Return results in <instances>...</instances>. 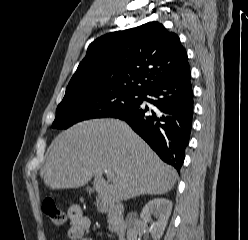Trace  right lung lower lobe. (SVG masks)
Wrapping results in <instances>:
<instances>
[{"label": "right lung lower lobe", "instance_id": "98d812e1", "mask_svg": "<svg viewBox=\"0 0 248 240\" xmlns=\"http://www.w3.org/2000/svg\"><path fill=\"white\" fill-rule=\"evenodd\" d=\"M143 100L156 108L142 106ZM110 117L125 120L164 162L180 172L193 120L190 70L152 86L138 104Z\"/></svg>", "mask_w": 248, "mask_h": 240}]
</instances>
